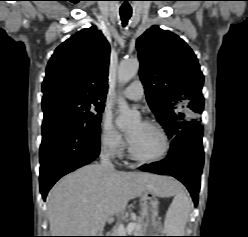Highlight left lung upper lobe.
<instances>
[{"label": "left lung upper lobe", "mask_w": 248, "mask_h": 237, "mask_svg": "<svg viewBox=\"0 0 248 237\" xmlns=\"http://www.w3.org/2000/svg\"><path fill=\"white\" fill-rule=\"evenodd\" d=\"M147 102L168 138L200 124L204 76L192 49L176 34L152 26L137 40Z\"/></svg>", "instance_id": "1"}]
</instances>
